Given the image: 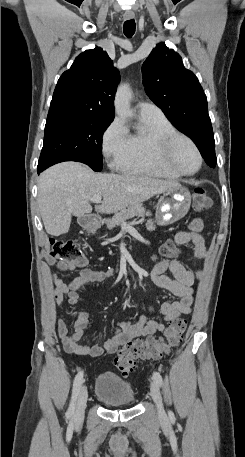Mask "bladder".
Wrapping results in <instances>:
<instances>
[{
    "label": "bladder",
    "instance_id": "1",
    "mask_svg": "<svg viewBox=\"0 0 245 457\" xmlns=\"http://www.w3.org/2000/svg\"><path fill=\"white\" fill-rule=\"evenodd\" d=\"M96 397L106 406H130L134 405L135 401L132 385L110 373L100 375L96 385Z\"/></svg>",
    "mask_w": 245,
    "mask_h": 457
}]
</instances>
